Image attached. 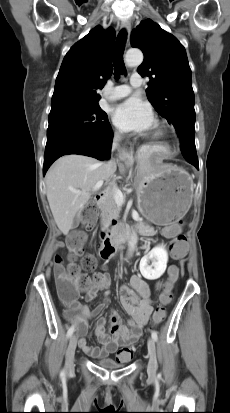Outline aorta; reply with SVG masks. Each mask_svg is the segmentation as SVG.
<instances>
[{"label":"aorta","instance_id":"762f6f07","mask_svg":"<svg viewBox=\"0 0 230 413\" xmlns=\"http://www.w3.org/2000/svg\"><path fill=\"white\" fill-rule=\"evenodd\" d=\"M125 61L128 66L140 65L143 61V54L139 49H129L125 56ZM137 244V235L133 232L129 243L128 256H132Z\"/></svg>","mask_w":230,"mask_h":413}]
</instances>
